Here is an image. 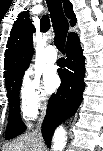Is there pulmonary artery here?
Returning <instances> with one entry per match:
<instances>
[{
    "label": "pulmonary artery",
    "instance_id": "pulmonary-artery-1",
    "mask_svg": "<svg viewBox=\"0 0 103 151\" xmlns=\"http://www.w3.org/2000/svg\"><path fill=\"white\" fill-rule=\"evenodd\" d=\"M45 59L47 62L49 63H54L57 61V52H56V49L53 45H48L46 48H45Z\"/></svg>",
    "mask_w": 103,
    "mask_h": 151
}]
</instances>
